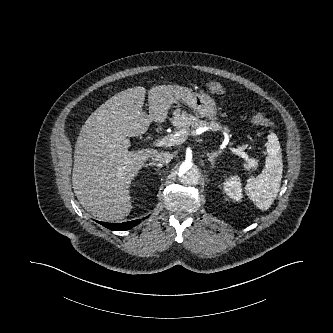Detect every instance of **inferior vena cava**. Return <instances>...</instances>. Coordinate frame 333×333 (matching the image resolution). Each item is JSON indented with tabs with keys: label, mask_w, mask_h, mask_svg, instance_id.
<instances>
[{
	"label": "inferior vena cava",
	"mask_w": 333,
	"mask_h": 333,
	"mask_svg": "<svg viewBox=\"0 0 333 333\" xmlns=\"http://www.w3.org/2000/svg\"><path fill=\"white\" fill-rule=\"evenodd\" d=\"M152 159L160 164L169 163L173 159V154L170 152H157L153 154Z\"/></svg>",
	"instance_id": "602c4592"
}]
</instances>
